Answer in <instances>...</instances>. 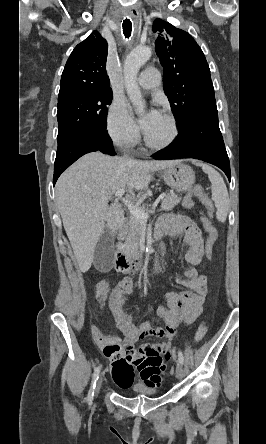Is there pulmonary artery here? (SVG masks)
Listing matches in <instances>:
<instances>
[{"instance_id":"e3ab8cb5","label":"pulmonary artery","mask_w":266,"mask_h":444,"mask_svg":"<svg viewBox=\"0 0 266 444\" xmlns=\"http://www.w3.org/2000/svg\"><path fill=\"white\" fill-rule=\"evenodd\" d=\"M139 86L145 89H155L161 83V73L156 67H148L137 78Z\"/></svg>"}]
</instances>
